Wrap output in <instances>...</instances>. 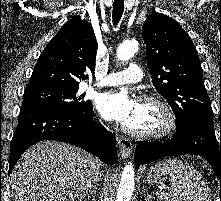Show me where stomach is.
<instances>
[{"mask_svg":"<svg viewBox=\"0 0 221 201\" xmlns=\"http://www.w3.org/2000/svg\"><path fill=\"white\" fill-rule=\"evenodd\" d=\"M167 174L164 168H157V166H155L148 170L146 178L150 183L161 184L167 179Z\"/></svg>","mask_w":221,"mask_h":201,"instance_id":"1","label":"stomach"}]
</instances>
